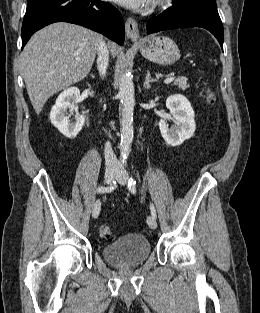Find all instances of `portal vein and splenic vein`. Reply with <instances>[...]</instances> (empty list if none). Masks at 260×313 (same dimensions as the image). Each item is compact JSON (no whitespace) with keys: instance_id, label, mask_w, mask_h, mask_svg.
Here are the masks:
<instances>
[{"instance_id":"portal-vein-and-splenic-vein-1","label":"portal vein and splenic vein","mask_w":260,"mask_h":313,"mask_svg":"<svg viewBox=\"0 0 260 313\" xmlns=\"http://www.w3.org/2000/svg\"><path fill=\"white\" fill-rule=\"evenodd\" d=\"M173 80H174V77H173V76H170V77H168V78H166V79L164 80V83H165V84H168V83H171Z\"/></svg>"}]
</instances>
